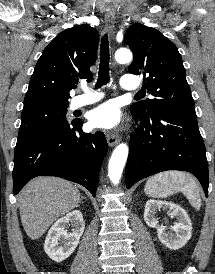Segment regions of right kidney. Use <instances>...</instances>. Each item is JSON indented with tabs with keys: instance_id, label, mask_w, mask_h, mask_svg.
<instances>
[{
	"instance_id": "obj_1",
	"label": "right kidney",
	"mask_w": 215,
	"mask_h": 274,
	"mask_svg": "<svg viewBox=\"0 0 215 274\" xmlns=\"http://www.w3.org/2000/svg\"><path fill=\"white\" fill-rule=\"evenodd\" d=\"M73 227L72 233H67V226ZM85 228L81 211L73 210L58 219L50 228L45 239L44 250L55 262L68 258L76 249Z\"/></svg>"
}]
</instances>
